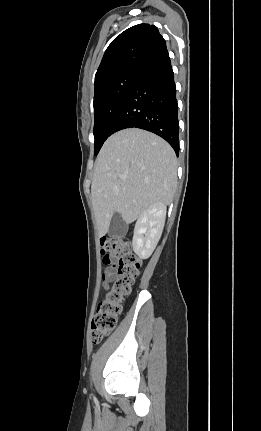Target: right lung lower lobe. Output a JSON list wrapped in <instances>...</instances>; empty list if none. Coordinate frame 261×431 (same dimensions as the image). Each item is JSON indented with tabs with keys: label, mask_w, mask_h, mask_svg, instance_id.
<instances>
[{
	"label": "right lung lower lobe",
	"mask_w": 261,
	"mask_h": 431,
	"mask_svg": "<svg viewBox=\"0 0 261 431\" xmlns=\"http://www.w3.org/2000/svg\"><path fill=\"white\" fill-rule=\"evenodd\" d=\"M133 127L159 135L179 155L176 87L167 51L140 70L113 121L111 134Z\"/></svg>",
	"instance_id": "obj_1"
}]
</instances>
